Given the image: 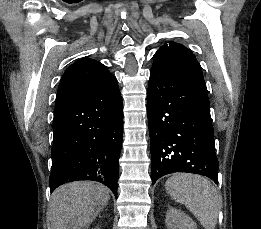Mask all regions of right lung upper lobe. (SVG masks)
<instances>
[{
	"label": "right lung upper lobe",
	"mask_w": 261,
	"mask_h": 229,
	"mask_svg": "<svg viewBox=\"0 0 261 229\" xmlns=\"http://www.w3.org/2000/svg\"><path fill=\"white\" fill-rule=\"evenodd\" d=\"M113 77L107 68L90 58H83L65 71L56 96L55 114L70 103L98 88Z\"/></svg>",
	"instance_id": "right-lung-upper-lobe-1"
}]
</instances>
